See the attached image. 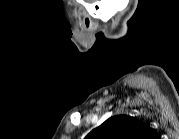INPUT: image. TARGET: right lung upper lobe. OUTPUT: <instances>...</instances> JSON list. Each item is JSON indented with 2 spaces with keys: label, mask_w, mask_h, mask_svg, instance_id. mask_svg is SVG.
I'll list each match as a JSON object with an SVG mask.
<instances>
[{
  "label": "right lung upper lobe",
  "mask_w": 179,
  "mask_h": 139,
  "mask_svg": "<svg viewBox=\"0 0 179 139\" xmlns=\"http://www.w3.org/2000/svg\"><path fill=\"white\" fill-rule=\"evenodd\" d=\"M154 135L146 123L128 115H117L92 130L86 139H148Z\"/></svg>",
  "instance_id": "obj_1"
}]
</instances>
